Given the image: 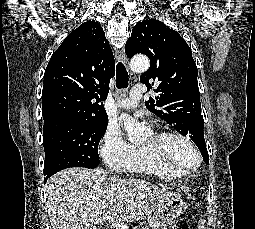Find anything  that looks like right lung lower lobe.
Segmentation results:
<instances>
[{"label": "right lung lower lobe", "mask_w": 255, "mask_h": 229, "mask_svg": "<svg viewBox=\"0 0 255 229\" xmlns=\"http://www.w3.org/2000/svg\"><path fill=\"white\" fill-rule=\"evenodd\" d=\"M50 176H46V178L44 179V181L46 182V180L49 178Z\"/></svg>", "instance_id": "98d812e1"}]
</instances>
